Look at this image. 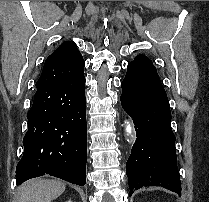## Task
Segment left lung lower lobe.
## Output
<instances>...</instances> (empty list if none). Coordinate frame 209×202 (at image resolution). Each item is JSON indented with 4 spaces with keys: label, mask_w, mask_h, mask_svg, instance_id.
I'll list each match as a JSON object with an SVG mask.
<instances>
[{
    "label": "left lung lower lobe",
    "mask_w": 209,
    "mask_h": 202,
    "mask_svg": "<svg viewBox=\"0 0 209 202\" xmlns=\"http://www.w3.org/2000/svg\"><path fill=\"white\" fill-rule=\"evenodd\" d=\"M121 87L122 107L133 118L137 135L126 167L130 196L143 186L181 195L170 106L159 75L129 63Z\"/></svg>",
    "instance_id": "left-lung-lower-lobe-1"
}]
</instances>
